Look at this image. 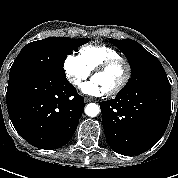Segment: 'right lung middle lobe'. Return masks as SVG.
Returning <instances> with one entry per match:
<instances>
[{"mask_svg":"<svg viewBox=\"0 0 178 178\" xmlns=\"http://www.w3.org/2000/svg\"><path fill=\"white\" fill-rule=\"evenodd\" d=\"M88 39L48 37L27 44L16 57L9 78L13 76L60 75L66 77L63 69L68 54L87 43Z\"/></svg>","mask_w":178,"mask_h":178,"instance_id":"right-lung-middle-lobe-1","label":"right lung middle lobe"}]
</instances>
